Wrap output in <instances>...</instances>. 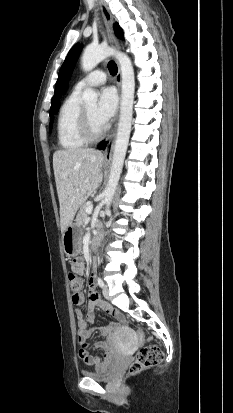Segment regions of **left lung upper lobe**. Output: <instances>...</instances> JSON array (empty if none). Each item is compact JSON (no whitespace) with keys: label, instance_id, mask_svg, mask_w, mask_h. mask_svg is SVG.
<instances>
[{"label":"left lung upper lobe","instance_id":"5c2ea615","mask_svg":"<svg viewBox=\"0 0 233 413\" xmlns=\"http://www.w3.org/2000/svg\"><path fill=\"white\" fill-rule=\"evenodd\" d=\"M114 29H115L116 35L119 38L123 39V31L117 23L114 25ZM80 49H81V45L79 43L75 44L71 48V50L69 51L62 67L60 68L59 75H58V80H57L56 86H55V93H54V96L52 98V103H51V108H50V115L52 114L56 104L58 103L59 99L62 96V93L64 91V87H65L66 83L68 82V80L71 76V73L73 71L75 62L78 58Z\"/></svg>","mask_w":233,"mask_h":413}]
</instances>
